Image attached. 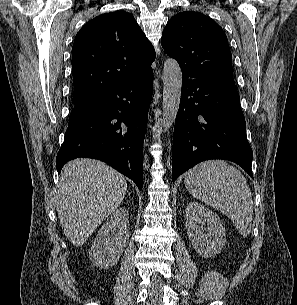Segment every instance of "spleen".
I'll return each mask as SVG.
<instances>
[{
    "instance_id": "spleen-1",
    "label": "spleen",
    "mask_w": 297,
    "mask_h": 305,
    "mask_svg": "<svg viewBox=\"0 0 297 305\" xmlns=\"http://www.w3.org/2000/svg\"><path fill=\"white\" fill-rule=\"evenodd\" d=\"M189 193L207 205L221 210L240 234L249 236L253 220L252 195L243 174L221 160L198 164L185 174Z\"/></svg>"
}]
</instances>
